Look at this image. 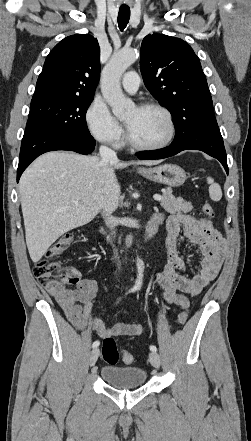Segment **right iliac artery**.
<instances>
[{"label":"right iliac artery","mask_w":251,"mask_h":441,"mask_svg":"<svg viewBox=\"0 0 251 441\" xmlns=\"http://www.w3.org/2000/svg\"><path fill=\"white\" fill-rule=\"evenodd\" d=\"M131 291H133V290H131ZM131 291H129V292H131ZM99 345H100V342L99 341H95V342H93L92 347L93 348H97Z\"/></svg>","instance_id":"82829eb1"}]
</instances>
